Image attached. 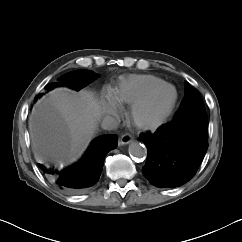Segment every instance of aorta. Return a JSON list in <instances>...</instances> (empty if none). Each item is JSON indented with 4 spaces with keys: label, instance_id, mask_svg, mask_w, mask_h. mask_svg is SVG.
<instances>
[{
    "label": "aorta",
    "instance_id": "obj_1",
    "mask_svg": "<svg viewBox=\"0 0 242 242\" xmlns=\"http://www.w3.org/2000/svg\"><path fill=\"white\" fill-rule=\"evenodd\" d=\"M129 153L132 157L142 159L146 157L147 150L143 144L134 141L129 145Z\"/></svg>",
    "mask_w": 242,
    "mask_h": 242
}]
</instances>
